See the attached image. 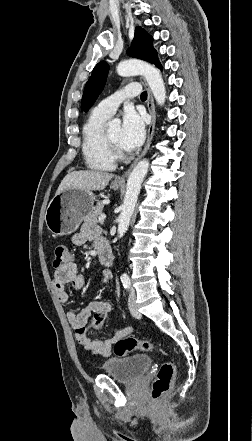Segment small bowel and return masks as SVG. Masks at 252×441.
<instances>
[{"mask_svg":"<svg viewBox=\"0 0 252 441\" xmlns=\"http://www.w3.org/2000/svg\"><path fill=\"white\" fill-rule=\"evenodd\" d=\"M88 241H94L96 247L102 243H107L101 236L100 231L94 226H85L79 232H76L72 236V242L75 245H83ZM101 281L105 285H109L112 282V273L109 270H103L101 272ZM80 291L85 284L84 276L78 272L77 266L74 262H70L65 266L57 268L54 273L53 285L57 293L58 299L62 303H66L69 300L67 291V285ZM107 305H111L106 300L93 301L79 312L68 311L67 319L72 328L75 330V337L78 342L84 347L85 351L89 355H100L107 357L111 354L113 345L120 339L129 336L133 329L126 327L118 332L113 337L101 340L92 339L88 335L80 336L77 331L84 328L87 325L89 317L95 312L102 310Z\"/></svg>","mask_w":252,"mask_h":441,"instance_id":"small-bowel-1","label":"small bowel"}]
</instances>
